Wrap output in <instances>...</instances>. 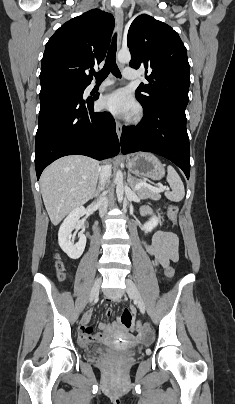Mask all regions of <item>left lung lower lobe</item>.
<instances>
[{"instance_id":"0a47b994","label":"left lung lower lobe","mask_w":235,"mask_h":404,"mask_svg":"<svg viewBox=\"0 0 235 404\" xmlns=\"http://www.w3.org/2000/svg\"><path fill=\"white\" fill-rule=\"evenodd\" d=\"M185 108L177 104H160L144 109L137 126L124 127L121 136L123 154L136 151L161 155L190 175V147L186 131Z\"/></svg>"}]
</instances>
